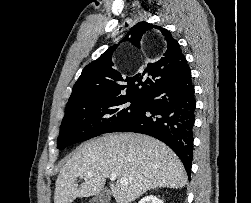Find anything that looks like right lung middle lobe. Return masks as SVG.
Here are the masks:
<instances>
[{"instance_id": "1", "label": "right lung middle lobe", "mask_w": 251, "mask_h": 203, "mask_svg": "<svg viewBox=\"0 0 251 203\" xmlns=\"http://www.w3.org/2000/svg\"><path fill=\"white\" fill-rule=\"evenodd\" d=\"M143 106V99L113 98L90 100L66 106L57 139L64 148L104 133L113 132Z\"/></svg>"}]
</instances>
